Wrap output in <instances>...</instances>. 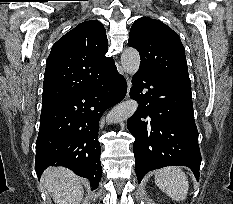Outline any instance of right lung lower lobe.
<instances>
[{
    "instance_id": "98d812e1",
    "label": "right lung lower lobe",
    "mask_w": 233,
    "mask_h": 204,
    "mask_svg": "<svg viewBox=\"0 0 233 204\" xmlns=\"http://www.w3.org/2000/svg\"><path fill=\"white\" fill-rule=\"evenodd\" d=\"M127 83L116 66L95 84L42 110L36 141L38 178L48 166H64L98 187L102 166L98 124L103 113L123 100Z\"/></svg>"
}]
</instances>
